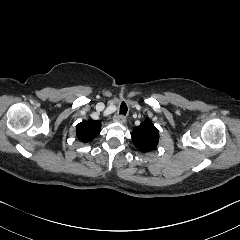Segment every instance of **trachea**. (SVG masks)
Listing matches in <instances>:
<instances>
[{"mask_svg": "<svg viewBox=\"0 0 240 240\" xmlns=\"http://www.w3.org/2000/svg\"><path fill=\"white\" fill-rule=\"evenodd\" d=\"M120 113L126 115L127 113V105L125 102H122L120 105Z\"/></svg>", "mask_w": 240, "mask_h": 240, "instance_id": "1", "label": "trachea"}]
</instances>
